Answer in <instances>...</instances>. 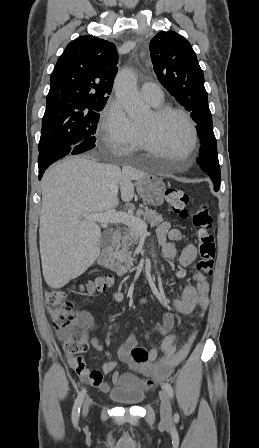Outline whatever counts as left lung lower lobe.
<instances>
[{"mask_svg":"<svg viewBox=\"0 0 259 448\" xmlns=\"http://www.w3.org/2000/svg\"><path fill=\"white\" fill-rule=\"evenodd\" d=\"M198 164L201 169L211 178L214 184V190L217 191L220 187L221 173L216 144L200 149Z\"/></svg>","mask_w":259,"mask_h":448,"instance_id":"obj_1","label":"left lung lower lobe"}]
</instances>
